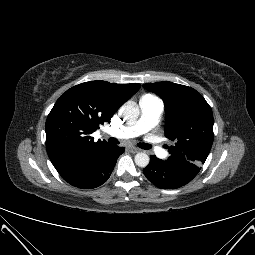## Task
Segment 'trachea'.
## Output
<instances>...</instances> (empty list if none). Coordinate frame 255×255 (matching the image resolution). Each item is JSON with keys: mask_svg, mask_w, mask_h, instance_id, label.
Masks as SVG:
<instances>
[{"mask_svg": "<svg viewBox=\"0 0 255 255\" xmlns=\"http://www.w3.org/2000/svg\"><path fill=\"white\" fill-rule=\"evenodd\" d=\"M108 141L110 143L119 144V141L116 138H113V137L109 138ZM138 146L142 149H150L151 148V145L146 144V143H139Z\"/></svg>", "mask_w": 255, "mask_h": 255, "instance_id": "trachea-1", "label": "trachea"}]
</instances>
